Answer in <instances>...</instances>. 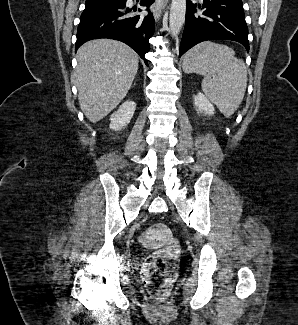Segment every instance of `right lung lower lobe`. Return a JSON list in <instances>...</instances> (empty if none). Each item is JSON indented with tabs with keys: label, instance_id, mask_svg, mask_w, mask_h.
I'll use <instances>...</instances> for the list:
<instances>
[{
	"label": "right lung lower lobe",
	"instance_id": "1",
	"mask_svg": "<svg viewBox=\"0 0 298 325\" xmlns=\"http://www.w3.org/2000/svg\"><path fill=\"white\" fill-rule=\"evenodd\" d=\"M126 1L86 5L77 30L76 49L88 40L116 39L133 48L147 64L144 55L150 50L149 39L155 27L149 7L154 0L140 1L141 6L147 7L145 16H134L133 9L126 7Z\"/></svg>",
	"mask_w": 298,
	"mask_h": 325
}]
</instances>
